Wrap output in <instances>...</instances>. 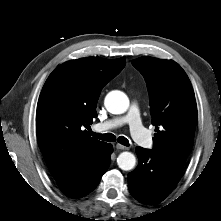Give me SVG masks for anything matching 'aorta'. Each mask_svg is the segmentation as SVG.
I'll use <instances>...</instances> for the list:
<instances>
[{
    "label": "aorta",
    "instance_id": "1",
    "mask_svg": "<svg viewBox=\"0 0 221 221\" xmlns=\"http://www.w3.org/2000/svg\"><path fill=\"white\" fill-rule=\"evenodd\" d=\"M104 105L108 112L122 114L129 107V99L123 92L115 90L106 95ZM117 164L120 169L128 171L135 167L136 158L131 152H122L117 158Z\"/></svg>",
    "mask_w": 221,
    "mask_h": 221
}]
</instances>
